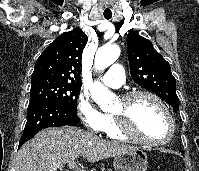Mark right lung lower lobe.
<instances>
[{
	"mask_svg": "<svg viewBox=\"0 0 199 171\" xmlns=\"http://www.w3.org/2000/svg\"><path fill=\"white\" fill-rule=\"evenodd\" d=\"M80 122L77 113L71 112L50 100H36L29 103L27 122L19 142V147L40 130L48 127L74 126Z\"/></svg>",
	"mask_w": 199,
	"mask_h": 171,
	"instance_id": "right-lung-lower-lobe-1",
	"label": "right lung lower lobe"
}]
</instances>
